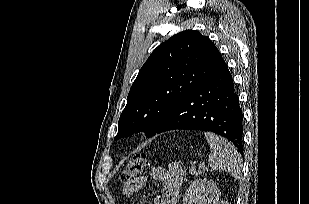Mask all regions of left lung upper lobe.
<instances>
[{
  "mask_svg": "<svg viewBox=\"0 0 309 204\" xmlns=\"http://www.w3.org/2000/svg\"><path fill=\"white\" fill-rule=\"evenodd\" d=\"M224 60L212 41L186 30L160 44L139 71L114 139L144 131L150 137L173 108L212 75Z\"/></svg>",
  "mask_w": 309,
  "mask_h": 204,
  "instance_id": "obj_1",
  "label": "left lung upper lobe"
}]
</instances>
